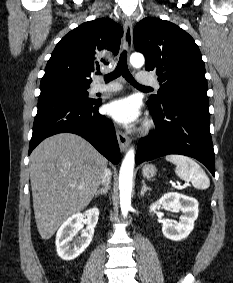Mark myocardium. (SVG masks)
<instances>
[{
  "instance_id": "myocardium-1",
  "label": "myocardium",
  "mask_w": 233,
  "mask_h": 283,
  "mask_svg": "<svg viewBox=\"0 0 233 283\" xmlns=\"http://www.w3.org/2000/svg\"><path fill=\"white\" fill-rule=\"evenodd\" d=\"M153 127H154L153 123L151 121H147V122H145V124H144V126L142 128V132L144 134H147V133H149L153 129Z\"/></svg>"
}]
</instances>
